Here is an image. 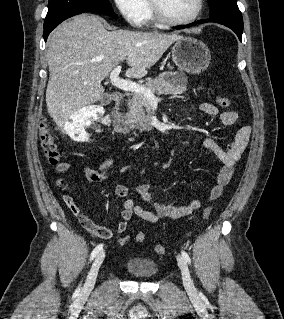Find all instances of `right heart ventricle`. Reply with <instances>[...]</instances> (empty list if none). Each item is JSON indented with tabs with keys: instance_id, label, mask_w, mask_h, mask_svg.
Returning a JSON list of instances; mask_svg holds the SVG:
<instances>
[{
	"instance_id": "right-heart-ventricle-1",
	"label": "right heart ventricle",
	"mask_w": 284,
	"mask_h": 319,
	"mask_svg": "<svg viewBox=\"0 0 284 319\" xmlns=\"http://www.w3.org/2000/svg\"><path fill=\"white\" fill-rule=\"evenodd\" d=\"M155 22H156V19L153 16L150 3H148V11H147V14L145 16L143 24L150 25V24H153Z\"/></svg>"
}]
</instances>
